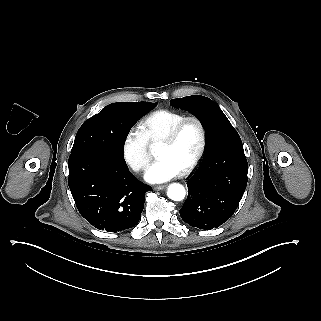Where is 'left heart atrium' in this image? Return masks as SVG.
<instances>
[{
	"label": "left heart atrium",
	"instance_id": "39dd6f15",
	"mask_svg": "<svg viewBox=\"0 0 321 321\" xmlns=\"http://www.w3.org/2000/svg\"><path fill=\"white\" fill-rule=\"evenodd\" d=\"M181 174L182 169L178 166L175 159L172 156H164L148 167L145 178L151 183H162Z\"/></svg>",
	"mask_w": 321,
	"mask_h": 321
}]
</instances>
